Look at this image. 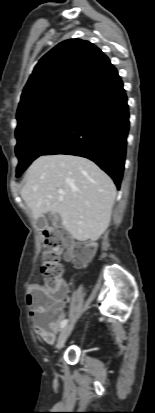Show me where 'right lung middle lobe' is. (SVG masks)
Here are the masks:
<instances>
[{"instance_id": "right-lung-middle-lobe-1", "label": "right lung middle lobe", "mask_w": 155, "mask_h": 413, "mask_svg": "<svg viewBox=\"0 0 155 413\" xmlns=\"http://www.w3.org/2000/svg\"><path fill=\"white\" fill-rule=\"evenodd\" d=\"M76 106L61 105L16 128L15 151L19 159L17 177L61 135Z\"/></svg>"}]
</instances>
